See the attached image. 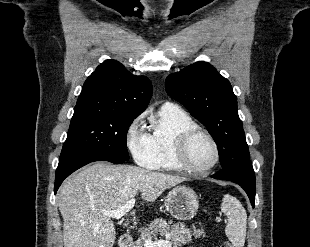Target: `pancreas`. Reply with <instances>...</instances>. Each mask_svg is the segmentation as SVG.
Here are the masks:
<instances>
[{
  "instance_id": "pancreas-1",
  "label": "pancreas",
  "mask_w": 310,
  "mask_h": 247,
  "mask_svg": "<svg viewBox=\"0 0 310 247\" xmlns=\"http://www.w3.org/2000/svg\"><path fill=\"white\" fill-rule=\"evenodd\" d=\"M172 222H164L161 219H156L150 225L142 230L140 237L134 242L133 247H143L145 240L152 239L156 235L165 236L166 240L170 242V247H181L189 244L192 241V236L199 238L205 237L203 230L193 228V232L184 224H174Z\"/></svg>"
}]
</instances>
